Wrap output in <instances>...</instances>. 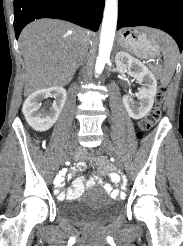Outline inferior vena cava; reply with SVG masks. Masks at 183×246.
I'll return each instance as SVG.
<instances>
[{"label": "inferior vena cava", "mask_w": 183, "mask_h": 246, "mask_svg": "<svg viewBox=\"0 0 183 246\" xmlns=\"http://www.w3.org/2000/svg\"><path fill=\"white\" fill-rule=\"evenodd\" d=\"M87 42V38L84 39V44H86ZM84 54V49H82V51L80 52V55H83Z\"/></svg>", "instance_id": "inferior-vena-cava-1"}]
</instances>
